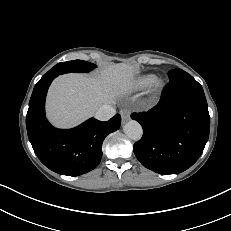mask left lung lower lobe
<instances>
[{
    "label": "left lung lower lobe",
    "instance_id": "obj_1",
    "mask_svg": "<svg viewBox=\"0 0 231 231\" xmlns=\"http://www.w3.org/2000/svg\"><path fill=\"white\" fill-rule=\"evenodd\" d=\"M157 106L131 118L143 127L134 144L137 159L159 174H177L191 167L202 154L209 137L210 116L202 86L187 72H169Z\"/></svg>",
    "mask_w": 231,
    "mask_h": 231
}]
</instances>
